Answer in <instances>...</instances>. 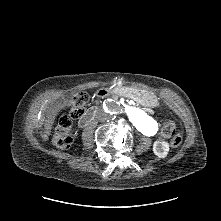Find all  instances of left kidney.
Listing matches in <instances>:
<instances>
[{"label": "left kidney", "instance_id": "5707ae66", "mask_svg": "<svg viewBox=\"0 0 221 221\" xmlns=\"http://www.w3.org/2000/svg\"><path fill=\"white\" fill-rule=\"evenodd\" d=\"M153 152L159 158H165L169 152V144L165 141L157 140L153 144Z\"/></svg>", "mask_w": 221, "mask_h": 221}]
</instances>
